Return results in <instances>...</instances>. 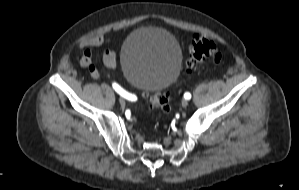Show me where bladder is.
Masks as SVG:
<instances>
[{"instance_id": "obj_1", "label": "bladder", "mask_w": 299, "mask_h": 190, "mask_svg": "<svg viewBox=\"0 0 299 190\" xmlns=\"http://www.w3.org/2000/svg\"><path fill=\"white\" fill-rule=\"evenodd\" d=\"M120 67L130 84L150 92H161L180 74L181 49L168 31L139 28L122 45Z\"/></svg>"}]
</instances>
